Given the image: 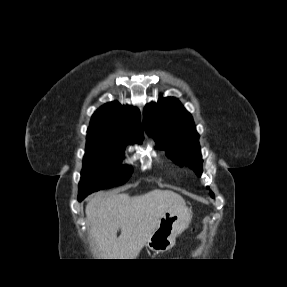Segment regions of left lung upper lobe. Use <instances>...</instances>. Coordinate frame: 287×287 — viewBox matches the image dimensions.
Listing matches in <instances>:
<instances>
[{
  "instance_id": "left-lung-upper-lobe-1",
  "label": "left lung upper lobe",
  "mask_w": 287,
  "mask_h": 287,
  "mask_svg": "<svg viewBox=\"0 0 287 287\" xmlns=\"http://www.w3.org/2000/svg\"><path fill=\"white\" fill-rule=\"evenodd\" d=\"M144 127L153 136L157 147L166 149V155L180 165L192 168L198 176L202 173V156L199 135L193 118L173 97H160L144 109ZM211 197L214 194L211 192Z\"/></svg>"
}]
</instances>
